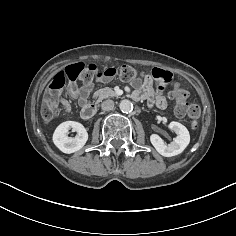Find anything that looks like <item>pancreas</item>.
I'll use <instances>...</instances> for the list:
<instances>
[{
  "label": "pancreas",
  "instance_id": "pancreas-1",
  "mask_svg": "<svg viewBox=\"0 0 236 236\" xmlns=\"http://www.w3.org/2000/svg\"><path fill=\"white\" fill-rule=\"evenodd\" d=\"M116 93L109 87L106 88H102L97 90L94 94H93V99H97L96 102L99 103L101 102L103 99L109 98V97H115Z\"/></svg>",
  "mask_w": 236,
  "mask_h": 236
}]
</instances>
